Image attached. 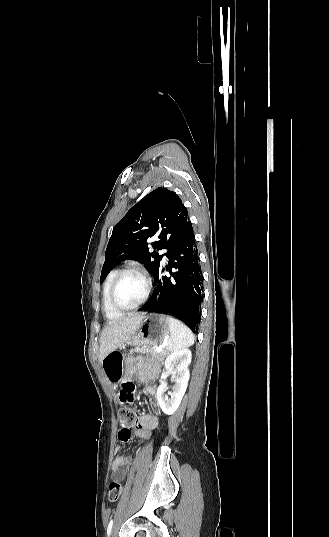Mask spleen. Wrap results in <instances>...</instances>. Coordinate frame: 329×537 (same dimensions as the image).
<instances>
[{"instance_id":"1","label":"spleen","mask_w":329,"mask_h":537,"mask_svg":"<svg viewBox=\"0 0 329 537\" xmlns=\"http://www.w3.org/2000/svg\"><path fill=\"white\" fill-rule=\"evenodd\" d=\"M170 335L167 341L168 351H178L194 344L192 331L176 318L169 317Z\"/></svg>"}]
</instances>
